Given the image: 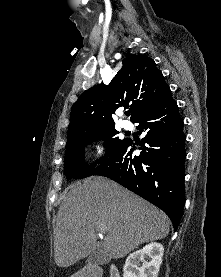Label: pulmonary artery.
<instances>
[{
    "instance_id": "e3ab8cb5",
    "label": "pulmonary artery",
    "mask_w": 221,
    "mask_h": 277,
    "mask_svg": "<svg viewBox=\"0 0 221 277\" xmlns=\"http://www.w3.org/2000/svg\"><path fill=\"white\" fill-rule=\"evenodd\" d=\"M122 127L124 128V129H131V127H132V125H131V123L130 122H128V121H122Z\"/></svg>"
}]
</instances>
